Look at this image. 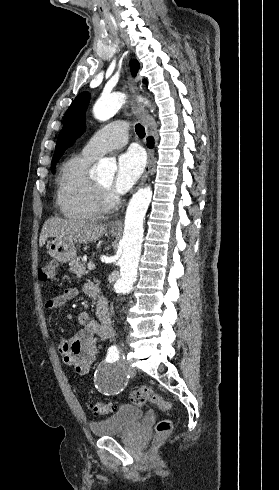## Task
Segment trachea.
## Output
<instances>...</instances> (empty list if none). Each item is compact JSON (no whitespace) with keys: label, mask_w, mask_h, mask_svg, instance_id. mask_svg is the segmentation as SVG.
<instances>
[{"label":"trachea","mask_w":279,"mask_h":490,"mask_svg":"<svg viewBox=\"0 0 279 490\" xmlns=\"http://www.w3.org/2000/svg\"><path fill=\"white\" fill-rule=\"evenodd\" d=\"M135 131L140 138H143L145 136L144 127H142V125H140L139 123L135 126Z\"/></svg>","instance_id":"obj_1"}]
</instances>
